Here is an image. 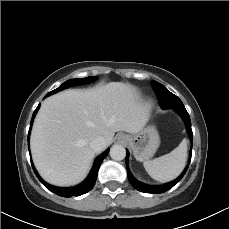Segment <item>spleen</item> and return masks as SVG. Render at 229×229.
Instances as JSON below:
<instances>
[{
	"mask_svg": "<svg viewBox=\"0 0 229 229\" xmlns=\"http://www.w3.org/2000/svg\"><path fill=\"white\" fill-rule=\"evenodd\" d=\"M187 159V140L184 139L170 153L143 163L147 173L159 182L175 179L185 167Z\"/></svg>",
	"mask_w": 229,
	"mask_h": 229,
	"instance_id": "3e777b00",
	"label": "spleen"
}]
</instances>
